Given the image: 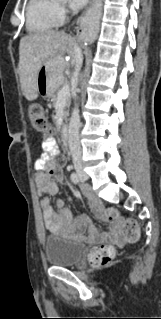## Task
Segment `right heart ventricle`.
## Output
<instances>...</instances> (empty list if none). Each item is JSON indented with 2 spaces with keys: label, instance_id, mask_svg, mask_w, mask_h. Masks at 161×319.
Listing matches in <instances>:
<instances>
[{
  "label": "right heart ventricle",
  "instance_id": "e07e8e85",
  "mask_svg": "<svg viewBox=\"0 0 161 319\" xmlns=\"http://www.w3.org/2000/svg\"><path fill=\"white\" fill-rule=\"evenodd\" d=\"M59 6L54 0H30L26 8V26L31 34L49 32L60 24Z\"/></svg>",
  "mask_w": 161,
  "mask_h": 319
}]
</instances>
